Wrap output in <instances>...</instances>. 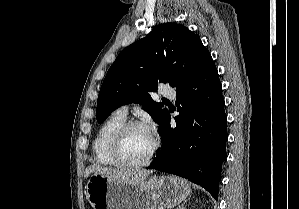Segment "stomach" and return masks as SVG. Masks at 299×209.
<instances>
[{
	"mask_svg": "<svg viewBox=\"0 0 299 209\" xmlns=\"http://www.w3.org/2000/svg\"><path fill=\"white\" fill-rule=\"evenodd\" d=\"M93 209H171L191 192L190 185L173 176L153 177L139 183L115 182L92 174L86 185Z\"/></svg>",
	"mask_w": 299,
	"mask_h": 209,
	"instance_id": "stomach-1",
	"label": "stomach"
}]
</instances>
